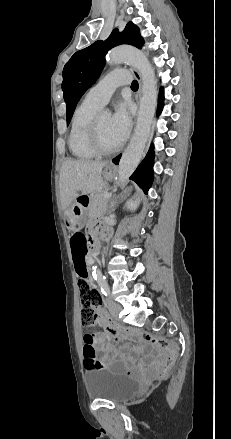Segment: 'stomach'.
Instances as JSON below:
<instances>
[{
    "label": "stomach",
    "mask_w": 231,
    "mask_h": 439,
    "mask_svg": "<svg viewBox=\"0 0 231 439\" xmlns=\"http://www.w3.org/2000/svg\"><path fill=\"white\" fill-rule=\"evenodd\" d=\"M114 172V167L107 165L103 175L106 179H111L114 176ZM91 197L88 195H79L69 207L64 209V222L69 231L76 232L82 227V215Z\"/></svg>",
    "instance_id": "stomach-1"
}]
</instances>
